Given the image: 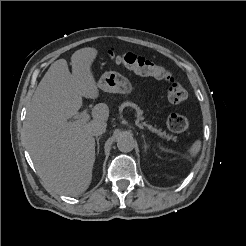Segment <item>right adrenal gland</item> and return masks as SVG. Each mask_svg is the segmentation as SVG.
Listing matches in <instances>:
<instances>
[{
    "mask_svg": "<svg viewBox=\"0 0 246 246\" xmlns=\"http://www.w3.org/2000/svg\"><path fill=\"white\" fill-rule=\"evenodd\" d=\"M101 137H97L96 138V143H97V154H99V150H100V144H99V140Z\"/></svg>",
    "mask_w": 246,
    "mask_h": 246,
    "instance_id": "obj_1",
    "label": "right adrenal gland"
}]
</instances>
